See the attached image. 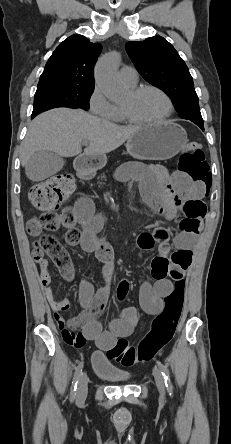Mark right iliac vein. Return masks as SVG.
I'll return each mask as SVG.
<instances>
[{
  "mask_svg": "<svg viewBox=\"0 0 231 444\" xmlns=\"http://www.w3.org/2000/svg\"><path fill=\"white\" fill-rule=\"evenodd\" d=\"M88 391V376L86 372H83L78 381V387L76 392V401L78 403H83L86 399Z\"/></svg>",
  "mask_w": 231,
  "mask_h": 444,
  "instance_id": "obj_1",
  "label": "right iliac vein"
}]
</instances>
